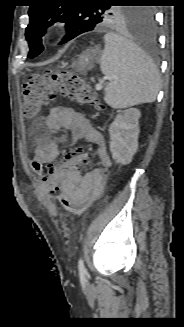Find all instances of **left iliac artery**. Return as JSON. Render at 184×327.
<instances>
[{"instance_id":"left-iliac-artery-1","label":"left iliac artery","mask_w":184,"mask_h":327,"mask_svg":"<svg viewBox=\"0 0 184 327\" xmlns=\"http://www.w3.org/2000/svg\"><path fill=\"white\" fill-rule=\"evenodd\" d=\"M78 269H79L80 275H85L86 274V268L84 266V262H83L82 258L79 259Z\"/></svg>"}]
</instances>
